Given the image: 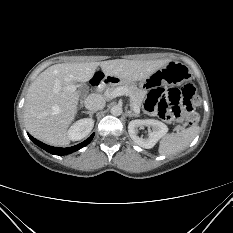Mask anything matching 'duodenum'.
Instances as JSON below:
<instances>
[{
  "label": "duodenum",
  "mask_w": 233,
  "mask_h": 233,
  "mask_svg": "<svg viewBox=\"0 0 233 233\" xmlns=\"http://www.w3.org/2000/svg\"><path fill=\"white\" fill-rule=\"evenodd\" d=\"M116 82H118V79L115 76L105 74L102 69L97 70L90 80V83L94 86H105L107 84H113Z\"/></svg>",
  "instance_id": "duodenum-1"
}]
</instances>
